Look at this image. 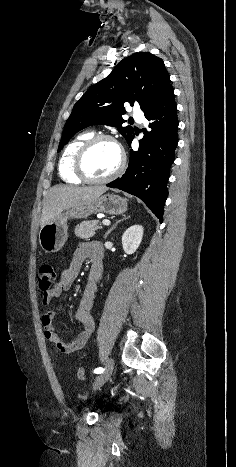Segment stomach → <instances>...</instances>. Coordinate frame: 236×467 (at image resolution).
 Masks as SVG:
<instances>
[{"label":"stomach","instance_id":"0dacf381","mask_svg":"<svg viewBox=\"0 0 236 467\" xmlns=\"http://www.w3.org/2000/svg\"><path fill=\"white\" fill-rule=\"evenodd\" d=\"M126 210V201L114 194H105L89 204L71 207L41 228L40 246L46 253L59 251L68 238L67 220L70 218H87L96 213L119 215L125 213Z\"/></svg>","mask_w":236,"mask_h":467}]
</instances>
